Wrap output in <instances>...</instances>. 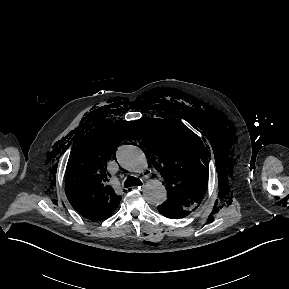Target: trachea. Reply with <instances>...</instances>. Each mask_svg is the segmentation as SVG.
Wrapping results in <instances>:
<instances>
[{"instance_id": "3493384b", "label": "trachea", "mask_w": 289, "mask_h": 289, "mask_svg": "<svg viewBox=\"0 0 289 289\" xmlns=\"http://www.w3.org/2000/svg\"><path fill=\"white\" fill-rule=\"evenodd\" d=\"M141 184H142V182L140 181V179L132 177V176H128L124 182V187L129 188L131 186H138Z\"/></svg>"}]
</instances>
